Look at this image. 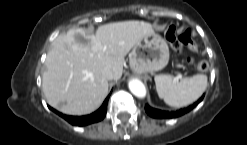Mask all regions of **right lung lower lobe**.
Wrapping results in <instances>:
<instances>
[{
	"label": "right lung lower lobe",
	"mask_w": 247,
	"mask_h": 145,
	"mask_svg": "<svg viewBox=\"0 0 247 145\" xmlns=\"http://www.w3.org/2000/svg\"><path fill=\"white\" fill-rule=\"evenodd\" d=\"M108 98L107 97L105 99V101L103 102L102 106L94 113L90 114V115H86V116H67L64 115L56 110H54L53 108L50 107V109L52 111H54L56 114H58L59 116H61L62 118H64L65 120H67L70 124L72 125H76V126H84V125H88L94 122H98L100 120H102L105 115H106V110H107V102H108Z\"/></svg>",
	"instance_id": "right-lung-lower-lobe-1"
}]
</instances>
